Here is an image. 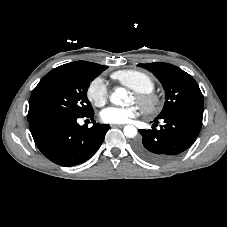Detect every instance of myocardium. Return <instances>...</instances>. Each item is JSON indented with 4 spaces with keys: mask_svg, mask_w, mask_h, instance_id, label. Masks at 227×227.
I'll return each instance as SVG.
<instances>
[{
    "mask_svg": "<svg viewBox=\"0 0 227 227\" xmlns=\"http://www.w3.org/2000/svg\"><path fill=\"white\" fill-rule=\"evenodd\" d=\"M134 98L138 105L141 107V109L147 114H153L157 112L162 105V99L154 92H135Z\"/></svg>",
    "mask_w": 227,
    "mask_h": 227,
    "instance_id": "1",
    "label": "myocardium"
}]
</instances>
